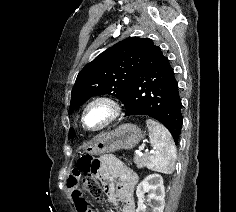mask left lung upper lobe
I'll use <instances>...</instances> for the list:
<instances>
[{
    "label": "left lung upper lobe",
    "instance_id": "5c2ea615",
    "mask_svg": "<svg viewBox=\"0 0 236 212\" xmlns=\"http://www.w3.org/2000/svg\"><path fill=\"white\" fill-rule=\"evenodd\" d=\"M150 39L130 37L105 50L78 74L71 92L69 114L95 95L122 101L145 56ZM71 128L68 138L74 137Z\"/></svg>",
    "mask_w": 236,
    "mask_h": 212
}]
</instances>
